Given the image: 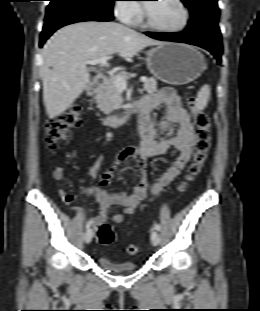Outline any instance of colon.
Segmentation results:
<instances>
[{
  "instance_id": "colon-1",
  "label": "colon",
  "mask_w": 260,
  "mask_h": 311,
  "mask_svg": "<svg viewBox=\"0 0 260 311\" xmlns=\"http://www.w3.org/2000/svg\"><path fill=\"white\" fill-rule=\"evenodd\" d=\"M188 108L193 116L196 128V140L194 143V154L192 162L188 168L183 182L180 185V191H184L202 171L208 158L211 141L210 117L207 113L200 110L196 99H188ZM82 123V111L78 106H73L60 117L49 120L45 126V140L50 151H56L58 144L71 136L74 129L80 127ZM96 235L99 242L103 245H110L115 240V233L112 227L107 223H102L97 227ZM138 244H130L127 252L131 255L139 252Z\"/></svg>"
}]
</instances>
